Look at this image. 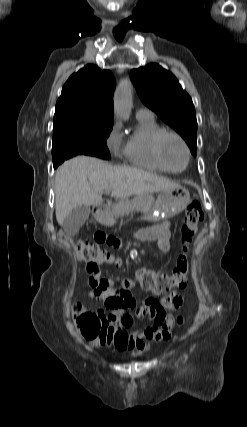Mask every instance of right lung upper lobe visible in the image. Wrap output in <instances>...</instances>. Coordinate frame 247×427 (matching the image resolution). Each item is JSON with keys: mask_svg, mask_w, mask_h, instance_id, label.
Instances as JSON below:
<instances>
[{"mask_svg": "<svg viewBox=\"0 0 247 427\" xmlns=\"http://www.w3.org/2000/svg\"><path fill=\"white\" fill-rule=\"evenodd\" d=\"M115 80L109 70L89 64L63 86L55 114L73 112L96 121H113Z\"/></svg>", "mask_w": 247, "mask_h": 427, "instance_id": "right-lung-upper-lobe-1", "label": "right lung upper lobe"}]
</instances>
